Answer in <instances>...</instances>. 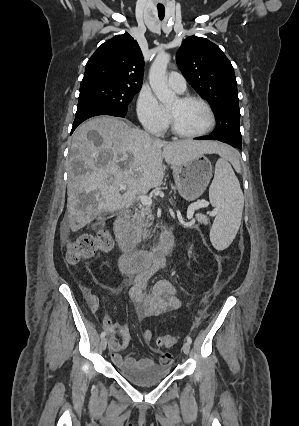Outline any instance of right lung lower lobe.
I'll use <instances>...</instances> for the list:
<instances>
[{
  "instance_id": "1",
  "label": "right lung lower lobe",
  "mask_w": 299,
  "mask_h": 426,
  "mask_svg": "<svg viewBox=\"0 0 299 426\" xmlns=\"http://www.w3.org/2000/svg\"><path fill=\"white\" fill-rule=\"evenodd\" d=\"M98 115H111L116 117H124L126 114L119 113L115 111L113 108L99 105V104H87L82 107L77 108L75 120L73 123V127L71 133L76 129V127L81 124L86 119L98 116Z\"/></svg>"
}]
</instances>
